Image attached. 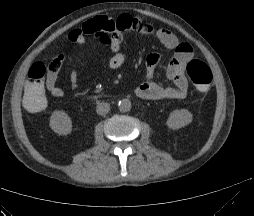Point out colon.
Wrapping results in <instances>:
<instances>
[{
    "instance_id": "colon-1",
    "label": "colon",
    "mask_w": 254,
    "mask_h": 216,
    "mask_svg": "<svg viewBox=\"0 0 254 216\" xmlns=\"http://www.w3.org/2000/svg\"><path fill=\"white\" fill-rule=\"evenodd\" d=\"M100 41L106 42L109 36L104 32L93 33ZM61 65L59 57L50 60L48 63L36 62L30 68L28 79L25 85L24 101L26 108L32 113H41L48 106V97L43 92V79L48 70H58ZM187 74L200 92L209 89L212 81V71L203 61L192 59L187 64Z\"/></svg>"
}]
</instances>
